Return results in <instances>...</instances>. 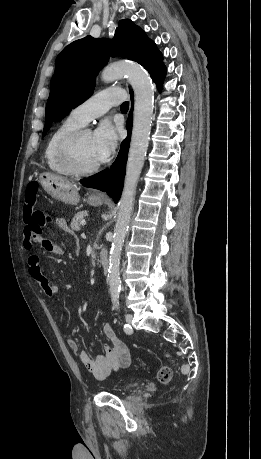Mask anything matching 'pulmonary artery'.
Returning <instances> with one entry per match:
<instances>
[{
	"instance_id": "pulmonary-artery-1",
	"label": "pulmonary artery",
	"mask_w": 261,
	"mask_h": 459,
	"mask_svg": "<svg viewBox=\"0 0 261 459\" xmlns=\"http://www.w3.org/2000/svg\"><path fill=\"white\" fill-rule=\"evenodd\" d=\"M125 97L124 90L120 88L104 89L70 112V117L82 125L87 124L107 112L112 106L120 104Z\"/></svg>"
}]
</instances>
